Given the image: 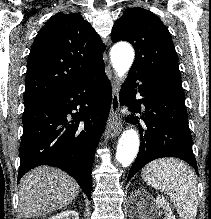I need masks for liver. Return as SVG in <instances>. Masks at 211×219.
<instances>
[{
	"label": "liver",
	"instance_id": "obj_1",
	"mask_svg": "<svg viewBox=\"0 0 211 219\" xmlns=\"http://www.w3.org/2000/svg\"><path fill=\"white\" fill-rule=\"evenodd\" d=\"M79 190L77 182L64 171L39 166L20 181V214L34 218L61 209L77 197Z\"/></svg>",
	"mask_w": 211,
	"mask_h": 219
}]
</instances>
